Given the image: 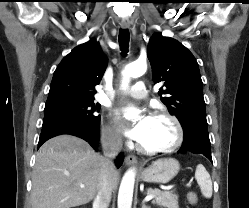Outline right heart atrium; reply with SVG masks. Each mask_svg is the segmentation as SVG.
<instances>
[{
    "label": "right heart atrium",
    "instance_id": "right-heart-atrium-1",
    "mask_svg": "<svg viewBox=\"0 0 249 208\" xmlns=\"http://www.w3.org/2000/svg\"><path fill=\"white\" fill-rule=\"evenodd\" d=\"M103 139L110 145H119L121 136L119 132L112 126H106L102 131Z\"/></svg>",
    "mask_w": 249,
    "mask_h": 208
}]
</instances>
